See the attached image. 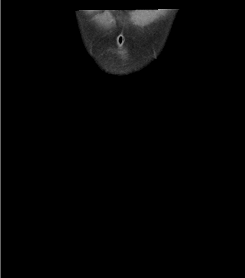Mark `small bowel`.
Returning <instances> with one entry per match:
<instances>
[{
    "instance_id": "obj_1",
    "label": "small bowel",
    "mask_w": 245,
    "mask_h": 278,
    "mask_svg": "<svg viewBox=\"0 0 245 278\" xmlns=\"http://www.w3.org/2000/svg\"><path fill=\"white\" fill-rule=\"evenodd\" d=\"M114 1L121 2L122 0H114Z\"/></svg>"
}]
</instances>
